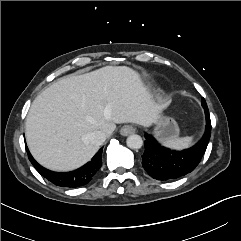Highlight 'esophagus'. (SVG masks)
Here are the masks:
<instances>
[{
    "label": "esophagus",
    "mask_w": 241,
    "mask_h": 241,
    "mask_svg": "<svg viewBox=\"0 0 241 241\" xmlns=\"http://www.w3.org/2000/svg\"><path fill=\"white\" fill-rule=\"evenodd\" d=\"M135 132V128L132 125H124L121 129H120V134L123 136H128L132 133Z\"/></svg>",
    "instance_id": "34e87169"
}]
</instances>
